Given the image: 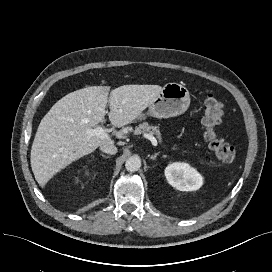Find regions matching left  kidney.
Listing matches in <instances>:
<instances>
[{
	"instance_id": "left-kidney-1",
	"label": "left kidney",
	"mask_w": 272,
	"mask_h": 272,
	"mask_svg": "<svg viewBox=\"0 0 272 272\" xmlns=\"http://www.w3.org/2000/svg\"><path fill=\"white\" fill-rule=\"evenodd\" d=\"M168 183L180 191H196L203 185V177L190 164L174 162L165 168Z\"/></svg>"
}]
</instances>
